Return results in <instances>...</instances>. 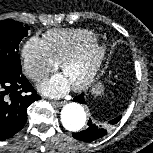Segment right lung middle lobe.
<instances>
[{
  "mask_svg": "<svg viewBox=\"0 0 153 153\" xmlns=\"http://www.w3.org/2000/svg\"><path fill=\"white\" fill-rule=\"evenodd\" d=\"M28 30V25L21 22L0 21V67L21 73L19 43L28 34Z\"/></svg>",
  "mask_w": 153,
  "mask_h": 153,
  "instance_id": "right-lung-middle-lobe-1",
  "label": "right lung middle lobe"
}]
</instances>
